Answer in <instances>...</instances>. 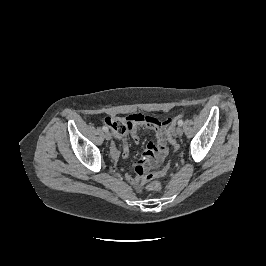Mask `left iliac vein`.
Returning a JSON list of instances; mask_svg holds the SVG:
<instances>
[{"mask_svg":"<svg viewBox=\"0 0 266 266\" xmlns=\"http://www.w3.org/2000/svg\"><path fill=\"white\" fill-rule=\"evenodd\" d=\"M175 132H176V134H177L178 136H181V135L183 134V129H182V127H181V126H178V127L176 128Z\"/></svg>","mask_w":266,"mask_h":266,"instance_id":"left-iliac-vein-1","label":"left iliac vein"}]
</instances>
